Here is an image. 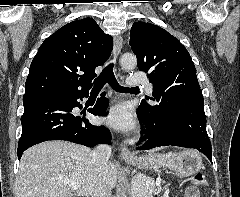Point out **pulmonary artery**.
Segmentation results:
<instances>
[{
  "mask_svg": "<svg viewBox=\"0 0 240 197\" xmlns=\"http://www.w3.org/2000/svg\"><path fill=\"white\" fill-rule=\"evenodd\" d=\"M137 84H143L148 93H151L153 90L152 84L147 80L141 79L139 72L132 73L129 77V86Z\"/></svg>",
  "mask_w": 240,
  "mask_h": 197,
  "instance_id": "pulmonary-artery-1",
  "label": "pulmonary artery"
}]
</instances>
